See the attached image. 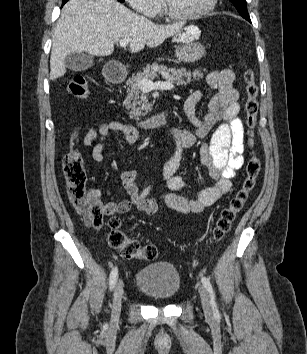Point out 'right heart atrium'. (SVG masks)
Segmentation results:
<instances>
[{"mask_svg": "<svg viewBox=\"0 0 307 354\" xmlns=\"http://www.w3.org/2000/svg\"><path fill=\"white\" fill-rule=\"evenodd\" d=\"M134 10L147 16L154 17L160 11V0H125Z\"/></svg>", "mask_w": 307, "mask_h": 354, "instance_id": "obj_1", "label": "right heart atrium"}]
</instances>
